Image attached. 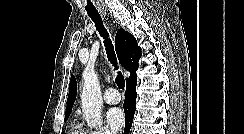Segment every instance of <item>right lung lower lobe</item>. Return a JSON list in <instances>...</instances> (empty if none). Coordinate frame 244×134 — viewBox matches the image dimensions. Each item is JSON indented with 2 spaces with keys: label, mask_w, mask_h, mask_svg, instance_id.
<instances>
[{
  "label": "right lung lower lobe",
  "mask_w": 244,
  "mask_h": 134,
  "mask_svg": "<svg viewBox=\"0 0 244 134\" xmlns=\"http://www.w3.org/2000/svg\"><path fill=\"white\" fill-rule=\"evenodd\" d=\"M136 83H137V77H133L131 79H129L128 81H126V94H125V100H124V112H125V130H124V134H128L131 126H132V122H133V117H134V113L136 110V97H137V93H136Z\"/></svg>",
  "instance_id": "98d812e1"
}]
</instances>
